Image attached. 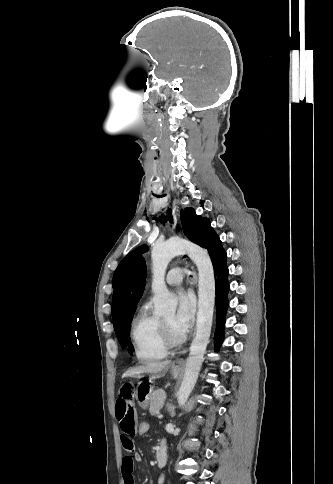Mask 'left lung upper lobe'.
I'll return each mask as SVG.
<instances>
[{"label": "left lung upper lobe", "instance_id": "obj_1", "mask_svg": "<svg viewBox=\"0 0 333 484\" xmlns=\"http://www.w3.org/2000/svg\"><path fill=\"white\" fill-rule=\"evenodd\" d=\"M181 222H182L183 231L186 237L190 241L198 245H201L206 226L210 223L209 219L202 218L201 216L196 215L194 209L192 208H185V210H181ZM146 251H147V246L142 245L134 249L132 252H130L127 256L124 257V259L120 262V264L118 265L117 269L114 272L113 286L117 283L118 278L124 266L132 258L137 256L138 254L145 253Z\"/></svg>", "mask_w": 333, "mask_h": 484}]
</instances>
